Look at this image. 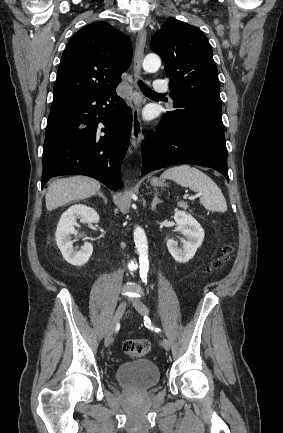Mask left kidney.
<instances>
[{
    "mask_svg": "<svg viewBox=\"0 0 283 433\" xmlns=\"http://www.w3.org/2000/svg\"><path fill=\"white\" fill-rule=\"evenodd\" d=\"M174 220L178 226L177 230L186 237V240H183L182 248L174 239H169L166 245L169 253L177 262L186 263L193 258L201 246L205 233L198 221L184 211H176Z\"/></svg>",
    "mask_w": 283,
    "mask_h": 433,
    "instance_id": "obj_1",
    "label": "left kidney"
}]
</instances>
